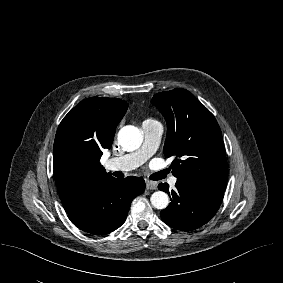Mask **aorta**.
Segmentation results:
<instances>
[{
  "label": "aorta",
  "instance_id": "aorta-1",
  "mask_svg": "<svg viewBox=\"0 0 283 283\" xmlns=\"http://www.w3.org/2000/svg\"><path fill=\"white\" fill-rule=\"evenodd\" d=\"M143 141L141 131L131 125L124 126L118 133V142L125 151H134L140 147ZM151 204L156 209H165L169 204V197L163 191H156L151 195Z\"/></svg>",
  "mask_w": 283,
  "mask_h": 283
}]
</instances>
